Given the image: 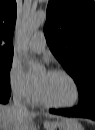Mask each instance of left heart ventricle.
Masks as SVG:
<instances>
[{
    "mask_svg": "<svg viewBox=\"0 0 95 130\" xmlns=\"http://www.w3.org/2000/svg\"><path fill=\"white\" fill-rule=\"evenodd\" d=\"M36 83L51 102L66 105L75 100V88L64 75L43 71L37 76Z\"/></svg>",
    "mask_w": 95,
    "mask_h": 130,
    "instance_id": "1",
    "label": "left heart ventricle"
}]
</instances>
